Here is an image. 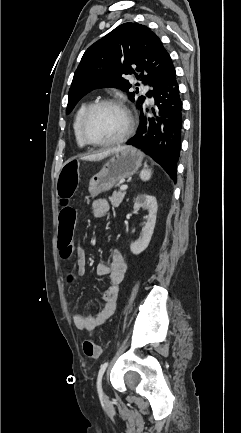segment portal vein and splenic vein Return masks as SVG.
Listing matches in <instances>:
<instances>
[{"mask_svg": "<svg viewBox=\"0 0 241 433\" xmlns=\"http://www.w3.org/2000/svg\"><path fill=\"white\" fill-rule=\"evenodd\" d=\"M127 188H128L127 185H122V186L120 187V190H121V191H125Z\"/></svg>", "mask_w": 241, "mask_h": 433, "instance_id": "1", "label": "portal vein and splenic vein"}]
</instances>
